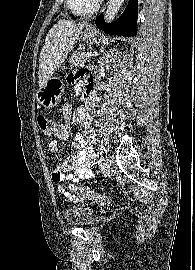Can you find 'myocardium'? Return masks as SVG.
<instances>
[{"instance_id":"f54148a6","label":"myocardium","mask_w":195,"mask_h":270,"mask_svg":"<svg viewBox=\"0 0 195 270\" xmlns=\"http://www.w3.org/2000/svg\"><path fill=\"white\" fill-rule=\"evenodd\" d=\"M100 0H96V3H97V7H98V3H99Z\"/></svg>"}]
</instances>
